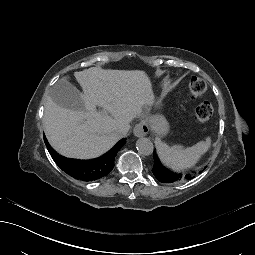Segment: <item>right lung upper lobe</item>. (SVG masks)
Listing matches in <instances>:
<instances>
[{"instance_id": "right-lung-upper-lobe-1", "label": "right lung upper lobe", "mask_w": 255, "mask_h": 255, "mask_svg": "<svg viewBox=\"0 0 255 255\" xmlns=\"http://www.w3.org/2000/svg\"><path fill=\"white\" fill-rule=\"evenodd\" d=\"M125 143V139H121L110 151L103 156L92 160H76L65 158L56 153L51 146L46 142L47 149L58 167L65 173L82 181H93L108 175L114 167V159L120 148ZM91 164L94 166V177L91 180H86L83 177V166Z\"/></svg>"}]
</instances>
